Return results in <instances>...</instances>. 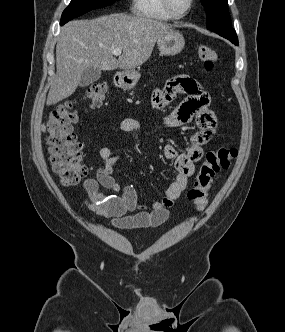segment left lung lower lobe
<instances>
[{"mask_svg":"<svg viewBox=\"0 0 285 332\" xmlns=\"http://www.w3.org/2000/svg\"><path fill=\"white\" fill-rule=\"evenodd\" d=\"M223 37L227 38L228 40H230L235 45H238V39H237V37H228V36H223Z\"/></svg>","mask_w":285,"mask_h":332,"instance_id":"1","label":"left lung lower lobe"}]
</instances>
